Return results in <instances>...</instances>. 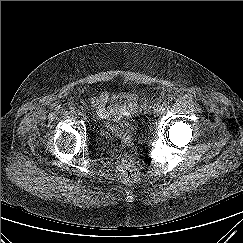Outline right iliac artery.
Here are the masks:
<instances>
[{"label":"right iliac artery","mask_w":243,"mask_h":243,"mask_svg":"<svg viewBox=\"0 0 243 243\" xmlns=\"http://www.w3.org/2000/svg\"><path fill=\"white\" fill-rule=\"evenodd\" d=\"M74 114H75V115H80L81 112H80V110H75V111H74Z\"/></svg>","instance_id":"82829eb1"}]
</instances>
